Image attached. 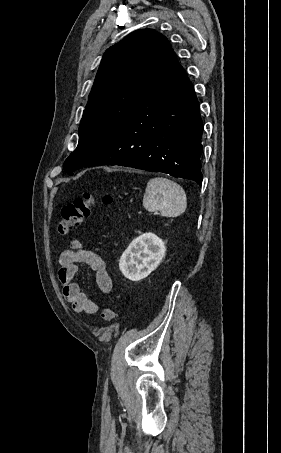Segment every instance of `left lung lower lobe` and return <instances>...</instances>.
<instances>
[{
	"mask_svg": "<svg viewBox=\"0 0 281 453\" xmlns=\"http://www.w3.org/2000/svg\"><path fill=\"white\" fill-rule=\"evenodd\" d=\"M202 133L193 86L172 50L129 118L84 167L127 166L168 173L200 185Z\"/></svg>",
	"mask_w": 281,
	"mask_h": 453,
	"instance_id": "left-lung-lower-lobe-1",
	"label": "left lung lower lobe"
}]
</instances>
